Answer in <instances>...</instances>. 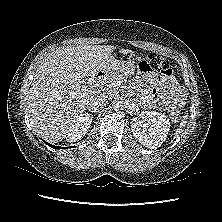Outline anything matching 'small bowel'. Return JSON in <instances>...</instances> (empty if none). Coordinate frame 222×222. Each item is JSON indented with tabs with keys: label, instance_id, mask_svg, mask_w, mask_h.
I'll use <instances>...</instances> for the list:
<instances>
[{
	"label": "small bowel",
	"instance_id": "small-bowel-1",
	"mask_svg": "<svg viewBox=\"0 0 222 222\" xmlns=\"http://www.w3.org/2000/svg\"><path fill=\"white\" fill-rule=\"evenodd\" d=\"M136 88L148 107L172 110L184 103L185 91L177 83L170 68L162 75H142ZM148 92L149 95L146 96Z\"/></svg>",
	"mask_w": 222,
	"mask_h": 222
}]
</instances>
